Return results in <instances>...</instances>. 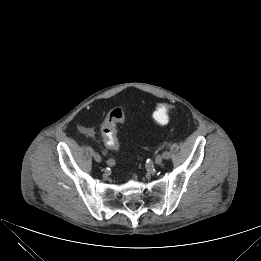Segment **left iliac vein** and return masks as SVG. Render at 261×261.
<instances>
[{"instance_id": "left-iliac-vein-1", "label": "left iliac vein", "mask_w": 261, "mask_h": 261, "mask_svg": "<svg viewBox=\"0 0 261 261\" xmlns=\"http://www.w3.org/2000/svg\"><path fill=\"white\" fill-rule=\"evenodd\" d=\"M163 161V156L161 154L157 155L155 158V163L156 164H161Z\"/></svg>"}]
</instances>
